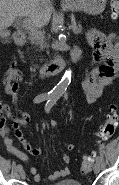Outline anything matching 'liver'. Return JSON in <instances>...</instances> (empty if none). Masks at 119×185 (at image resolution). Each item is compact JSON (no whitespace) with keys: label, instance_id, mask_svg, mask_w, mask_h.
Masks as SVG:
<instances>
[{"label":"liver","instance_id":"1","mask_svg":"<svg viewBox=\"0 0 119 185\" xmlns=\"http://www.w3.org/2000/svg\"><path fill=\"white\" fill-rule=\"evenodd\" d=\"M50 0H0V29L11 26L18 16H26L39 28L51 18Z\"/></svg>","mask_w":119,"mask_h":185}]
</instances>
